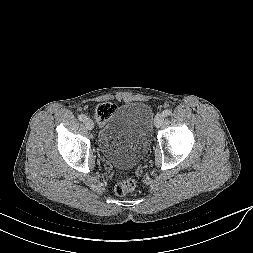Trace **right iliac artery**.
Returning <instances> with one entry per match:
<instances>
[{"instance_id": "1", "label": "right iliac artery", "mask_w": 253, "mask_h": 253, "mask_svg": "<svg viewBox=\"0 0 253 253\" xmlns=\"http://www.w3.org/2000/svg\"><path fill=\"white\" fill-rule=\"evenodd\" d=\"M78 118H79L80 121H85L86 120V116L84 114H80L78 116Z\"/></svg>"}]
</instances>
